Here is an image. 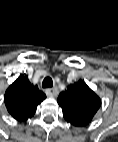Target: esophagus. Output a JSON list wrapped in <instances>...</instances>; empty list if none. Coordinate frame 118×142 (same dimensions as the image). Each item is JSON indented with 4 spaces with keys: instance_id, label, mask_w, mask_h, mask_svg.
I'll return each mask as SVG.
<instances>
[{
    "instance_id": "obj_1",
    "label": "esophagus",
    "mask_w": 118,
    "mask_h": 142,
    "mask_svg": "<svg viewBox=\"0 0 118 142\" xmlns=\"http://www.w3.org/2000/svg\"><path fill=\"white\" fill-rule=\"evenodd\" d=\"M46 94L51 97H57L59 94V91L57 88H48L46 89Z\"/></svg>"
}]
</instances>
